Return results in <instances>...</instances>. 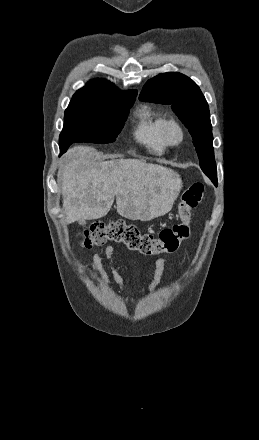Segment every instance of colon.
<instances>
[{
    "mask_svg": "<svg viewBox=\"0 0 259 440\" xmlns=\"http://www.w3.org/2000/svg\"><path fill=\"white\" fill-rule=\"evenodd\" d=\"M204 186L193 183L187 187L178 205V222L158 235L145 233L123 221L95 222L82 234V245L90 249L112 241L146 256L175 253L191 233L192 210L202 201Z\"/></svg>",
    "mask_w": 259,
    "mask_h": 440,
    "instance_id": "1",
    "label": "colon"
}]
</instances>
